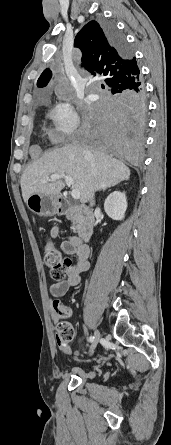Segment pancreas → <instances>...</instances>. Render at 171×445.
<instances>
[{
	"instance_id": "obj_1",
	"label": "pancreas",
	"mask_w": 171,
	"mask_h": 445,
	"mask_svg": "<svg viewBox=\"0 0 171 445\" xmlns=\"http://www.w3.org/2000/svg\"><path fill=\"white\" fill-rule=\"evenodd\" d=\"M82 226H83V222L80 221L79 219L73 217L72 218V226L71 229L74 233H78L81 234L82 233Z\"/></svg>"
}]
</instances>
